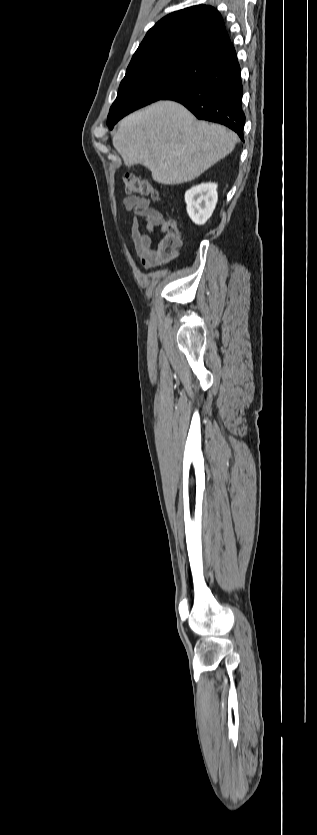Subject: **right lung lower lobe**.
I'll return each instance as SVG.
<instances>
[{
  "label": "right lung lower lobe",
  "instance_id": "obj_1",
  "mask_svg": "<svg viewBox=\"0 0 317 835\" xmlns=\"http://www.w3.org/2000/svg\"><path fill=\"white\" fill-rule=\"evenodd\" d=\"M206 74L163 100L183 104L198 119L225 125L244 141L245 115L241 107V71L232 43L192 56Z\"/></svg>",
  "mask_w": 317,
  "mask_h": 835
}]
</instances>
